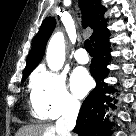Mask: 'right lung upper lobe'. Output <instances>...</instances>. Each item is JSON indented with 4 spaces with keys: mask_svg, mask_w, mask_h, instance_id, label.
Listing matches in <instances>:
<instances>
[{
    "mask_svg": "<svg viewBox=\"0 0 136 136\" xmlns=\"http://www.w3.org/2000/svg\"><path fill=\"white\" fill-rule=\"evenodd\" d=\"M80 7L83 13V27L90 26L94 33L90 37L93 46L101 39L109 37L106 28V19L104 13L106 8L101 5L100 0H80ZM56 26V20L53 17H47L37 35L35 36L31 51L27 58V64L23 77L29 75L41 61L48 39Z\"/></svg>",
    "mask_w": 136,
    "mask_h": 136,
    "instance_id": "obj_1",
    "label": "right lung upper lobe"
}]
</instances>
